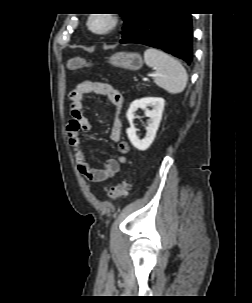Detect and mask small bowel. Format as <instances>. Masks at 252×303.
I'll list each match as a JSON object with an SVG mask.
<instances>
[{"instance_id":"small-bowel-1","label":"small bowel","mask_w":252,"mask_h":303,"mask_svg":"<svg viewBox=\"0 0 252 303\" xmlns=\"http://www.w3.org/2000/svg\"><path fill=\"white\" fill-rule=\"evenodd\" d=\"M98 94L105 96L113 107V123L110 131V140L117 144L118 155L108 159L104 166L99 168L89 163L85 156L84 141L82 133L91 130L92 125L83 114L84 98L88 94ZM72 124L69 127V142L73 147L74 161L80 174L94 183L104 182L115 176L121 166L127 163L126 154L129 145L122 140L121 131L123 127L121 119V107L123 103L122 95L112 85L95 81H84L79 83L70 94Z\"/></svg>"}]
</instances>
